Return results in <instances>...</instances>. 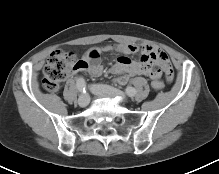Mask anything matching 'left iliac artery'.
Here are the masks:
<instances>
[{
	"label": "left iliac artery",
	"instance_id": "44dca946",
	"mask_svg": "<svg viewBox=\"0 0 219 174\" xmlns=\"http://www.w3.org/2000/svg\"><path fill=\"white\" fill-rule=\"evenodd\" d=\"M126 93L128 96L132 97L136 94V89L131 87V86H128L126 89H125Z\"/></svg>",
	"mask_w": 219,
	"mask_h": 174
}]
</instances>
